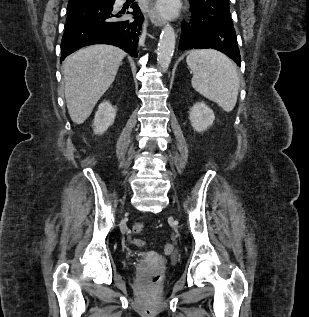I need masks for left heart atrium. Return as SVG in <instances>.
<instances>
[{
  "instance_id": "left-heart-atrium-1",
  "label": "left heart atrium",
  "mask_w": 309,
  "mask_h": 317,
  "mask_svg": "<svg viewBox=\"0 0 309 317\" xmlns=\"http://www.w3.org/2000/svg\"><path fill=\"white\" fill-rule=\"evenodd\" d=\"M158 11L163 15H172L175 12L173 0H159Z\"/></svg>"
}]
</instances>
